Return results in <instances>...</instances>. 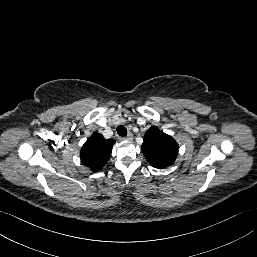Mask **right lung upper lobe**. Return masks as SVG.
Listing matches in <instances>:
<instances>
[{
	"mask_svg": "<svg viewBox=\"0 0 257 257\" xmlns=\"http://www.w3.org/2000/svg\"><path fill=\"white\" fill-rule=\"evenodd\" d=\"M114 143L113 139L107 140L101 134L94 132L81 148L82 163L93 172L101 170L109 160Z\"/></svg>",
	"mask_w": 257,
	"mask_h": 257,
	"instance_id": "obj_1",
	"label": "right lung upper lobe"
}]
</instances>
